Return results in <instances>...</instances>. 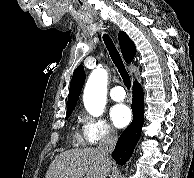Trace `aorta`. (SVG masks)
I'll list each match as a JSON object with an SVG mask.
<instances>
[{
    "instance_id": "obj_1",
    "label": "aorta",
    "mask_w": 194,
    "mask_h": 178,
    "mask_svg": "<svg viewBox=\"0 0 194 178\" xmlns=\"http://www.w3.org/2000/svg\"><path fill=\"white\" fill-rule=\"evenodd\" d=\"M107 70L98 66L90 74L84 89V106L93 116L102 115L106 105L107 95Z\"/></svg>"
}]
</instances>
